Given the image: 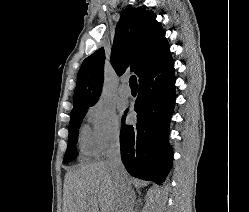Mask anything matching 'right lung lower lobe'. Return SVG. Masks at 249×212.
Returning <instances> with one entry per match:
<instances>
[{
    "label": "right lung lower lobe",
    "mask_w": 249,
    "mask_h": 212,
    "mask_svg": "<svg viewBox=\"0 0 249 212\" xmlns=\"http://www.w3.org/2000/svg\"><path fill=\"white\" fill-rule=\"evenodd\" d=\"M175 97L174 62L170 54L139 79L134 108L137 123L125 125L123 116L121 158L132 176L158 184L165 180L173 157L168 135Z\"/></svg>",
    "instance_id": "1"
}]
</instances>
